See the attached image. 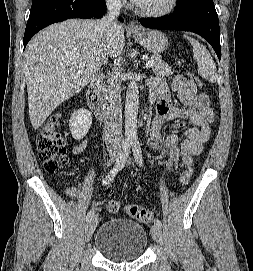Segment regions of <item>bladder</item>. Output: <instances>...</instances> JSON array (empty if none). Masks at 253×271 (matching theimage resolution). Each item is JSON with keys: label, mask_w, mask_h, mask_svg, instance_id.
I'll list each match as a JSON object with an SVG mask.
<instances>
[{"label": "bladder", "mask_w": 253, "mask_h": 271, "mask_svg": "<svg viewBox=\"0 0 253 271\" xmlns=\"http://www.w3.org/2000/svg\"><path fill=\"white\" fill-rule=\"evenodd\" d=\"M148 245L146 230L136 222L114 218L103 223L95 236V247L107 259L126 262L143 256Z\"/></svg>", "instance_id": "1"}]
</instances>
